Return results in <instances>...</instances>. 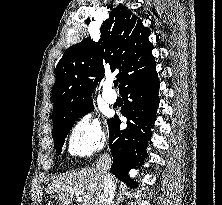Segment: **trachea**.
I'll use <instances>...</instances> for the list:
<instances>
[{
  "label": "trachea",
  "instance_id": "trachea-1",
  "mask_svg": "<svg viewBox=\"0 0 222 205\" xmlns=\"http://www.w3.org/2000/svg\"><path fill=\"white\" fill-rule=\"evenodd\" d=\"M114 86H115V87L118 86V81H114Z\"/></svg>",
  "mask_w": 222,
  "mask_h": 205
}]
</instances>
